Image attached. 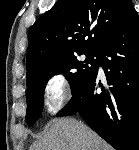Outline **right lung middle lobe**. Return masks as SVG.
<instances>
[{
	"mask_svg": "<svg viewBox=\"0 0 139 150\" xmlns=\"http://www.w3.org/2000/svg\"><path fill=\"white\" fill-rule=\"evenodd\" d=\"M85 55L84 61H79L76 55ZM97 66V52H79L69 56L54 59L30 76L26 77L27 111L26 122L31 127L41 116L43 108V93L45 86L52 76L63 74L74 91L93 74Z\"/></svg>",
	"mask_w": 139,
	"mask_h": 150,
	"instance_id": "obj_1",
	"label": "right lung middle lobe"
}]
</instances>
